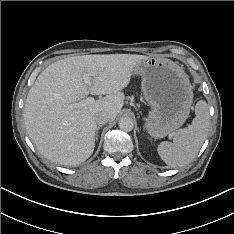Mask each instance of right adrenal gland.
Instances as JSON below:
<instances>
[{
	"label": "right adrenal gland",
	"instance_id": "2a0ac1e0",
	"mask_svg": "<svg viewBox=\"0 0 234 234\" xmlns=\"http://www.w3.org/2000/svg\"><path fill=\"white\" fill-rule=\"evenodd\" d=\"M101 127H102V126H97V127H96V132H95L96 141L98 140V131H99V129H100Z\"/></svg>",
	"mask_w": 234,
	"mask_h": 234
}]
</instances>
